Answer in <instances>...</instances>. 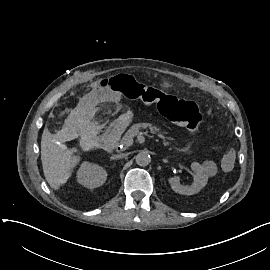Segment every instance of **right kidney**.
Wrapping results in <instances>:
<instances>
[{"mask_svg":"<svg viewBox=\"0 0 270 270\" xmlns=\"http://www.w3.org/2000/svg\"><path fill=\"white\" fill-rule=\"evenodd\" d=\"M107 178V172L99 165L84 161L77 171L79 184L89 189L101 186Z\"/></svg>","mask_w":270,"mask_h":270,"instance_id":"right-kidney-1","label":"right kidney"}]
</instances>
